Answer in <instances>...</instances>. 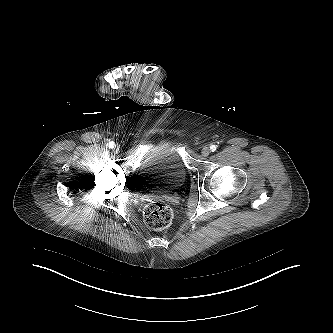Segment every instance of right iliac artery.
I'll return each instance as SVG.
<instances>
[{"instance_id": "1", "label": "right iliac artery", "mask_w": 333, "mask_h": 333, "mask_svg": "<svg viewBox=\"0 0 333 333\" xmlns=\"http://www.w3.org/2000/svg\"><path fill=\"white\" fill-rule=\"evenodd\" d=\"M107 146H108L109 148H114L115 143H114V142H109V143L107 144Z\"/></svg>"}]
</instances>
